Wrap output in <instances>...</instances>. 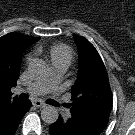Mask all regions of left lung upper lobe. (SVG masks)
<instances>
[{
    "label": "left lung upper lobe",
    "instance_id": "1",
    "mask_svg": "<svg viewBox=\"0 0 135 135\" xmlns=\"http://www.w3.org/2000/svg\"><path fill=\"white\" fill-rule=\"evenodd\" d=\"M74 38L79 48L80 71L71 90V118L101 132L108 123L112 108L106 68L99 53L87 39L80 36Z\"/></svg>",
    "mask_w": 135,
    "mask_h": 135
}]
</instances>
